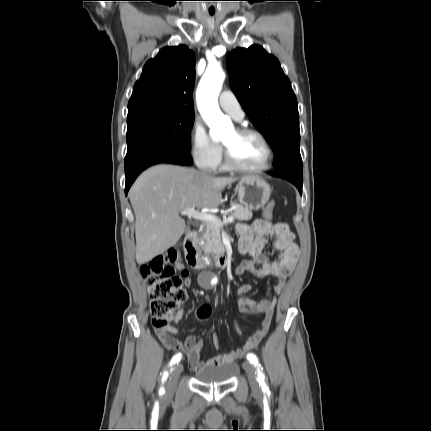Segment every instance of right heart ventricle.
<instances>
[{
    "label": "right heart ventricle",
    "mask_w": 431,
    "mask_h": 431,
    "mask_svg": "<svg viewBox=\"0 0 431 431\" xmlns=\"http://www.w3.org/2000/svg\"><path fill=\"white\" fill-rule=\"evenodd\" d=\"M220 169H221V170H227V169H228V167L226 166V164H221V165H220Z\"/></svg>",
    "instance_id": "obj_1"
}]
</instances>
